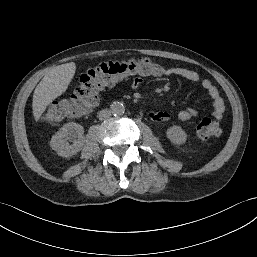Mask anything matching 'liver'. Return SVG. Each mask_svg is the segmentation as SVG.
<instances>
[{
  "mask_svg": "<svg viewBox=\"0 0 257 257\" xmlns=\"http://www.w3.org/2000/svg\"><path fill=\"white\" fill-rule=\"evenodd\" d=\"M76 70L74 62L52 68L36 86L33 94L32 109L35 121H39L47 106L62 95L72 81Z\"/></svg>",
  "mask_w": 257,
  "mask_h": 257,
  "instance_id": "6515ba94",
  "label": "liver"
}]
</instances>
